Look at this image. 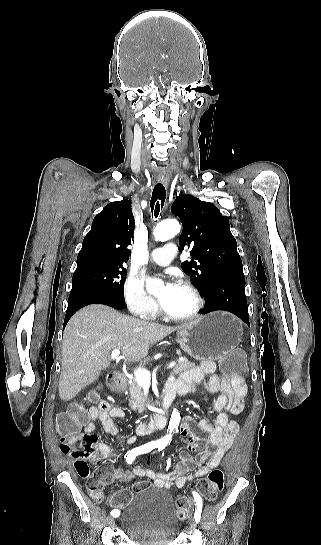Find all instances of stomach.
<instances>
[{
    "mask_svg": "<svg viewBox=\"0 0 321 545\" xmlns=\"http://www.w3.org/2000/svg\"><path fill=\"white\" fill-rule=\"evenodd\" d=\"M242 337L241 321L231 313L216 311L183 325L177 333V343L194 359H221L231 349H237Z\"/></svg>",
    "mask_w": 321,
    "mask_h": 545,
    "instance_id": "0dacf381",
    "label": "stomach"
}]
</instances>
